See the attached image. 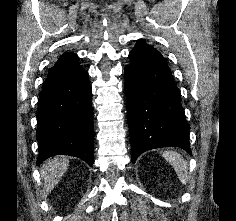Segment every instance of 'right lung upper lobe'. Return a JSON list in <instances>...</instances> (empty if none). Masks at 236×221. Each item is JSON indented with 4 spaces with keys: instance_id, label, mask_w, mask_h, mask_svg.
I'll list each match as a JSON object with an SVG mask.
<instances>
[{
    "instance_id": "right-lung-upper-lobe-1",
    "label": "right lung upper lobe",
    "mask_w": 236,
    "mask_h": 221,
    "mask_svg": "<svg viewBox=\"0 0 236 221\" xmlns=\"http://www.w3.org/2000/svg\"><path fill=\"white\" fill-rule=\"evenodd\" d=\"M71 55H74V53L66 52L62 55V57H60V59L71 56Z\"/></svg>"
}]
</instances>
